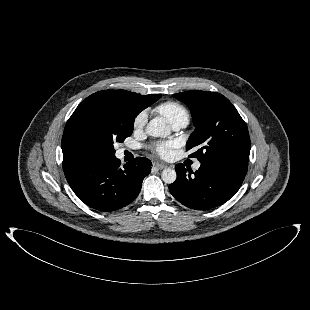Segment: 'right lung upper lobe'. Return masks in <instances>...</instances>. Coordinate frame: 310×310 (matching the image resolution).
<instances>
[{
  "label": "right lung upper lobe",
  "instance_id": "1",
  "mask_svg": "<svg viewBox=\"0 0 310 310\" xmlns=\"http://www.w3.org/2000/svg\"><path fill=\"white\" fill-rule=\"evenodd\" d=\"M160 94L139 95L125 90H103L87 97L83 103L108 102L113 103L135 118L143 109L147 108L160 98Z\"/></svg>",
  "mask_w": 310,
  "mask_h": 310
}]
</instances>
